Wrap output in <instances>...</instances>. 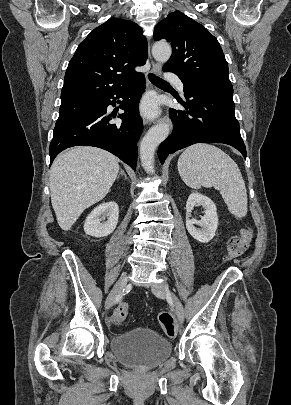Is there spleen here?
Here are the masks:
<instances>
[{
	"label": "spleen",
	"instance_id": "obj_1",
	"mask_svg": "<svg viewBox=\"0 0 291 405\" xmlns=\"http://www.w3.org/2000/svg\"><path fill=\"white\" fill-rule=\"evenodd\" d=\"M178 172L184 183L193 189L215 187L236 218L247 214V192L242 174L220 148L196 144L187 148L178 159Z\"/></svg>",
	"mask_w": 291,
	"mask_h": 405
}]
</instances>
